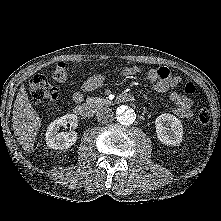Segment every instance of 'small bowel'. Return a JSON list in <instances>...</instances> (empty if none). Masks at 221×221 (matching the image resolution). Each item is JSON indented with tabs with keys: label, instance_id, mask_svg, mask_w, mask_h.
<instances>
[{
	"label": "small bowel",
	"instance_id": "obj_1",
	"mask_svg": "<svg viewBox=\"0 0 221 221\" xmlns=\"http://www.w3.org/2000/svg\"><path fill=\"white\" fill-rule=\"evenodd\" d=\"M139 73L140 69L136 66L127 67L123 71L124 75H137ZM146 78L148 81L154 83V91L156 93H166L183 84V80L179 76L172 75L170 70L166 67L150 69L146 73ZM106 79L104 74H94L84 81L82 90L89 92L99 89L104 85ZM169 97L170 100L176 104L173 110L175 115L185 119L193 116V111L191 109L192 101L190 98L177 91H172ZM73 99L75 102H81L83 100V94L81 92H75L73 94Z\"/></svg>",
	"mask_w": 221,
	"mask_h": 221
}]
</instances>
